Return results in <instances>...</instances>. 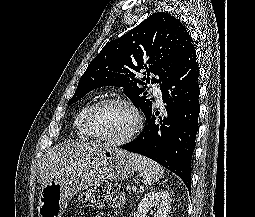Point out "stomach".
Masks as SVG:
<instances>
[{"label": "stomach", "instance_id": "0dacf381", "mask_svg": "<svg viewBox=\"0 0 255 217\" xmlns=\"http://www.w3.org/2000/svg\"><path fill=\"white\" fill-rule=\"evenodd\" d=\"M136 170L130 153L118 148H104L70 172L51 180L39 195V217H61L69 200L79 191L101 179L126 180Z\"/></svg>", "mask_w": 255, "mask_h": 217}]
</instances>
